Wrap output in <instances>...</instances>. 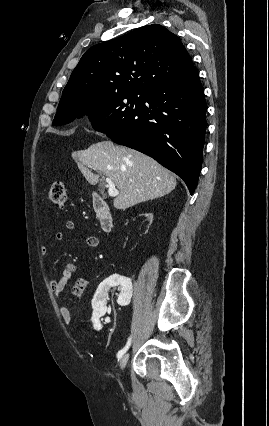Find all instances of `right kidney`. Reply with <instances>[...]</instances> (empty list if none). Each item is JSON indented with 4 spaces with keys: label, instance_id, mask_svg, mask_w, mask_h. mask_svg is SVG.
I'll list each match as a JSON object with an SVG mask.
<instances>
[{
    "label": "right kidney",
    "instance_id": "ca27d5eb",
    "mask_svg": "<svg viewBox=\"0 0 269 426\" xmlns=\"http://www.w3.org/2000/svg\"><path fill=\"white\" fill-rule=\"evenodd\" d=\"M139 217L142 215L140 212L137 214ZM145 220L147 222L142 223L141 228L144 232L149 230L150 225H153V215L151 213L143 214ZM126 274H121L120 276L113 275L110 278L106 279L103 283L98 287L94 299L92 300L93 306V314H92V322L93 327L96 330H100L102 325L100 323V317H102L106 312V303L108 295L112 293V288L116 286L117 289L120 290L118 297V307L120 310H127L133 301V292H132V284L130 280L127 279Z\"/></svg>",
    "mask_w": 269,
    "mask_h": 426
}]
</instances>
